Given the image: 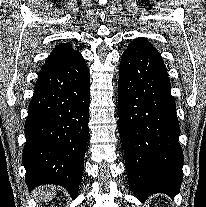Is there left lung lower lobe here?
Here are the masks:
<instances>
[{"mask_svg":"<svg viewBox=\"0 0 206 207\" xmlns=\"http://www.w3.org/2000/svg\"><path fill=\"white\" fill-rule=\"evenodd\" d=\"M170 88L159 54L129 45L119 69V130L129 185L140 201L160 192L174 197L182 183L180 128Z\"/></svg>","mask_w":206,"mask_h":207,"instance_id":"left-lung-lower-lobe-1","label":"left lung lower lobe"}]
</instances>
